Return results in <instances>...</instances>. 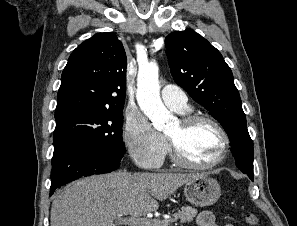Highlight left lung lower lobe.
<instances>
[{
	"instance_id": "obj_1",
	"label": "left lung lower lobe",
	"mask_w": 297,
	"mask_h": 226,
	"mask_svg": "<svg viewBox=\"0 0 297 226\" xmlns=\"http://www.w3.org/2000/svg\"><path fill=\"white\" fill-rule=\"evenodd\" d=\"M243 173L247 174L249 176V178L253 181L254 177H253V171H242Z\"/></svg>"
}]
</instances>
